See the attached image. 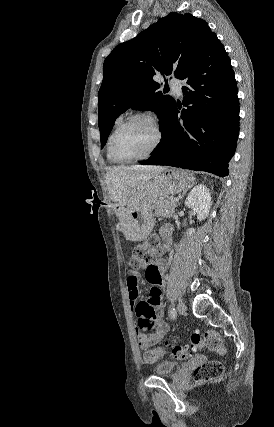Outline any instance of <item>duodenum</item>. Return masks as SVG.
Masks as SVG:
<instances>
[{"label":"duodenum","mask_w":274,"mask_h":427,"mask_svg":"<svg viewBox=\"0 0 274 427\" xmlns=\"http://www.w3.org/2000/svg\"><path fill=\"white\" fill-rule=\"evenodd\" d=\"M170 234H171L170 229H169V228H166V229L164 230V236H165V238H164V243H163V246H164V249H165V250H169V248H170V246H171V238H170Z\"/></svg>","instance_id":"duodenum-1"}]
</instances>
